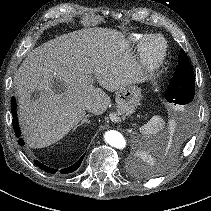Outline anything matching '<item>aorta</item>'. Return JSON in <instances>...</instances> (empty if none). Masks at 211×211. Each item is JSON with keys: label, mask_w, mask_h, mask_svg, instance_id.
<instances>
[{"label": "aorta", "mask_w": 211, "mask_h": 211, "mask_svg": "<svg viewBox=\"0 0 211 211\" xmlns=\"http://www.w3.org/2000/svg\"><path fill=\"white\" fill-rule=\"evenodd\" d=\"M104 139L110 146L117 149H124L126 147V140L118 131L109 130L105 132Z\"/></svg>", "instance_id": "1"}]
</instances>
